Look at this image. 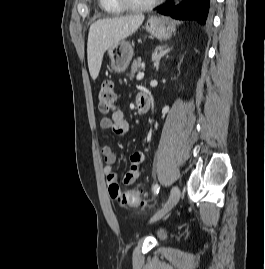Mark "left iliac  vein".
Here are the masks:
<instances>
[{
    "label": "left iliac vein",
    "instance_id": "left-iliac-vein-1",
    "mask_svg": "<svg viewBox=\"0 0 265 269\" xmlns=\"http://www.w3.org/2000/svg\"><path fill=\"white\" fill-rule=\"evenodd\" d=\"M180 190L177 186H173L170 192V196L164 206L158 211V213L151 219V222L161 219L166 215L179 201Z\"/></svg>",
    "mask_w": 265,
    "mask_h": 269
}]
</instances>
